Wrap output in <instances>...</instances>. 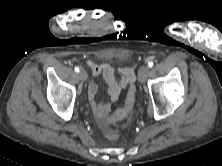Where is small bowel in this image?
<instances>
[{
  "mask_svg": "<svg viewBox=\"0 0 222 166\" xmlns=\"http://www.w3.org/2000/svg\"><path fill=\"white\" fill-rule=\"evenodd\" d=\"M87 65L94 76L103 75L108 85V102L99 101L97 99L98 85L94 79L89 82L88 86V98L92 110L96 115L99 123L102 126H106L109 120L108 114L111 109V103L116 102L119 99L122 90H124L135 81L134 68L130 66H124L118 68L116 71L115 68L108 63L97 64L91 61L87 62ZM116 73L120 75L119 79L116 78ZM105 131L107 133L109 130L105 129Z\"/></svg>",
  "mask_w": 222,
  "mask_h": 166,
  "instance_id": "1",
  "label": "small bowel"
}]
</instances>
